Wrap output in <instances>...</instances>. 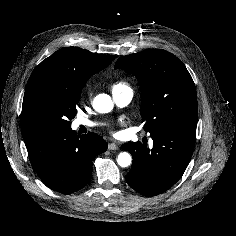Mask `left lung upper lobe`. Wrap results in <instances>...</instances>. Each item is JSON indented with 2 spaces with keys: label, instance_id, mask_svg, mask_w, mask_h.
<instances>
[{
  "label": "left lung upper lobe",
  "instance_id": "5c2ea615",
  "mask_svg": "<svg viewBox=\"0 0 236 236\" xmlns=\"http://www.w3.org/2000/svg\"><path fill=\"white\" fill-rule=\"evenodd\" d=\"M115 68L142 84L140 114L147 132L164 128L196 131L197 94L191 75L173 54L152 49L120 57Z\"/></svg>",
  "mask_w": 236,
  "mask_h": 236
}]
</instances>
